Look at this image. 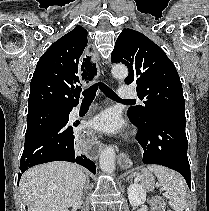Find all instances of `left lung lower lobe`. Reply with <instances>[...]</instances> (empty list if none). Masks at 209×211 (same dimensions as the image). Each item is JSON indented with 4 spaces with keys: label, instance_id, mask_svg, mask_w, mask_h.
Listing matches in <instances>:
<instances>
[{
    "label": "left lung lower lobe",
    "instance_id": "0a47b994",
    "mask_svg": "<svg viewBox=\"0 0 209 211\" xmlns=\"http://www.w3.org/2000/svg\"><path fill=\"white\" fill-rule=\"evenodd\" d=\"M128 117L139 128L136 138L144 149L143 162L163 165L179 172L191 189L185 112H162L146 122H140L129 114Z\"/></svg>",
    "mask_w": 209,
    "mask_h": 211
}]
</instances>
